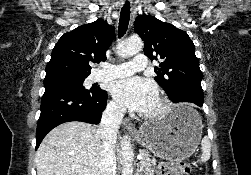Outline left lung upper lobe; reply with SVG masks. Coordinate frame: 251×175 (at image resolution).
<instances>
[{"instance_id":"left-lung-upper-lobe-1","label":"left lung upper lobe","mask_w":251,"mask_h":175,"mask_svg":"<svg viewBox=\"0 0 251 175\" xmlns=\"http://www.w3.org/2000/svg\"><path fill=\"white\" fill-rule=\"evenodd\" d=\"M134 29L145 43V54L161 61L155 68V80L166 93L178 87L203 92L195 46L185 31L146 14L136 18Z\"/></svg>"}]
</instances>
